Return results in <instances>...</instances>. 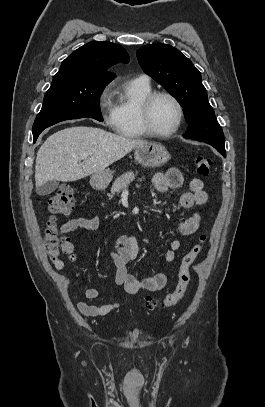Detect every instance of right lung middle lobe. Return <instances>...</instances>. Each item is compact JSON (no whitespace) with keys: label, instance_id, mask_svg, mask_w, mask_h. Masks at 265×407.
<instances>
[{"label":"right lung middle lobe","instance_id":"1","mask_svg":"<svg viewBox=\"0 0 265 407\" xmlns=\"http://www.w3.org/2000/svg\"><path fill=\"white\" fill-rule=\"evenodd\" d=\"M108 82L79 81L66 75L54 76L43 106L33 124V137L60 121L84 117L103 121L100 95Z\"/></svg>","mask_w":265,"mask_h":407}]
</instances>
